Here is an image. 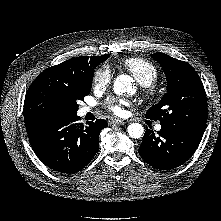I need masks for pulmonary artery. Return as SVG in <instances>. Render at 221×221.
I'll list each match as a JSON object with an SVG mask.
<instances>
[{
    "mask_svg": "<svg viewBox=\"0 0 221 221\" xmlns=\"http://www.w3.org/2000/svg\"><path fill=\"white\" fill-rule=\"evenodd\" d=\"M88 111H90V108L89 107H84L82 109V113L85 114L87 113ZM161 129V125H156V130H160Z\"/></svg>",
    "mask_w": 221,
    "mask_h": 221,
    "instance_id": "1",
    "label": "pulmonary artery"
}]
</instances>
